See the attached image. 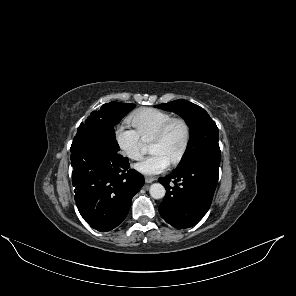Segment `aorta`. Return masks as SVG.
I'll return each instance as SVG.
<instances>
[{
    "instance_id": "aorta-1",
    "label": "aorta",
    "mask_w": 296,
    "mask_h": 296,
    "mask_svg": "<svg viewBox=\"0 0 296 296\" xmlns=\"http://www.w3.org/2000/svg\"><path fill=\"white\" fill-rule=\"evenodd\" d=\"M150 195L154 199H161L165 196V188L162 184L160 183H154L150 186Z\"/></svg>"
}]
</instances>
